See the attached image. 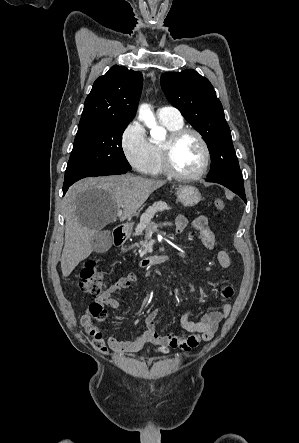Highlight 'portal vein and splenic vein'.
Listing matches in <instances>:
<instances>
[{
  "instance_id": "portal-vein-and-splenic-vein-1",
  "label": "portal vein and splenic vein",
  "mask_w": 299,
  "mask_h": 443,
  "mask_svg": "<svg viewBox=\"0 0 299 443\" xmlns=\"http://www.w3.org/2000/svg\"><path fill=\"white\" fill-rule=\"evenodd\" d=\"M122 214V212L121 211H119L118 213H117V215H121Z\"/></svg>"
}]
</instances>
